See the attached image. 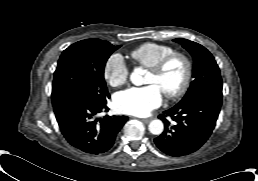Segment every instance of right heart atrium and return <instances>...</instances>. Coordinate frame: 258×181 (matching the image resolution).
Segmentation results:
<instances>
[{
    "instance_id": "right-heart-atrium-1",
    "label": "right heart atrium",
    "mask_w": 258,
    "mask_h": 181,
    "mask_svg": "<svg viewBox=\"0 0 258 181\" xmlns=\"http://www.w3.org/2000/svg\"><path fill=\"white\" fill-rule=\"evenodd\" d=\"M129 76V69L119 54L111 55L104 66V77L110 86L117 87L124 84Z\"/></svg>"
}]
</instances>
